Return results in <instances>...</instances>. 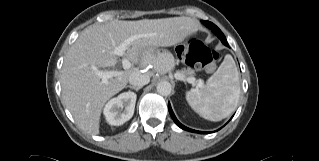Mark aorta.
<instances>
[{"label": "aorta", "mask_w": 319, "mask_h": 161, "mask_svg": "<svg viewBox=\"0 0 319 161\" xmlns=\"http://www.w3.org/2000/svg\"><path fill=\"white\" fill-rule=\"evenodd\" d=\"M157 92L162 96H168L171 93L172 87L168 81H161L157 84Z\"/></svg>", "instance_id": "obj_1"}]
</instances>
